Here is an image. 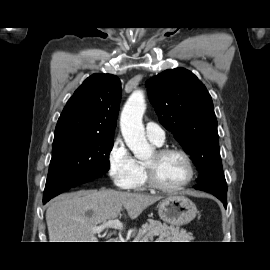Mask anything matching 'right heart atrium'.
<instances>
[{
    "mask_svg": "<svg viewBox=\"0 0 270 270\" xmlns=\"http://www.w3.org/2000/svg\"><path fill=\"white\" fill-rule=\"evenodd\" d=\"M108 174L121 189H132L138 175V164L121 138H116L107 155Z\"/></svg>",
    "mask_w": 270,
    "mask_h": 270,
    "instance_id": "obj_1",
    "label": "right heart atrium"
}]
</instances>
